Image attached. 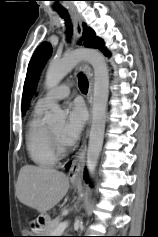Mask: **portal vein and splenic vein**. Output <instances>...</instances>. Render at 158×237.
I'll return each instance as SVG.
<instances>
[{"instance_id": "portal-vein-and-splenic-vein-1", "label": "portal vein and splenic vein", "mask_w": 158, "mask_h": 237, "mask_svg": "<svg viewBox=\"0 0 158 237\" xmlns=\"http://www.w3.org/2000/svg\"><path fill=\"white\" fill-rule=\"evenodd\" d=\"M67 226H68V221L61 222L58 226L57 231L61 233L67 228Z\"/></svg>"}]
</instances>
